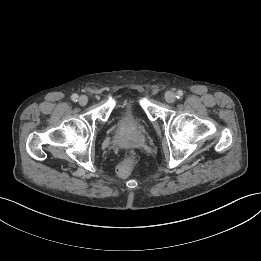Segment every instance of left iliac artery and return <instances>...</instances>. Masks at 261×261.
I'll use <instances>...</instances> for the list:
<instances>
[{
  "mask_svg": "<svg viewBox=\"0 0 261 261\" xmlns=\"http://www.w3.org/2000/svg\"><path fill=\"white\" fill-rule=\"evenodd\" d=\"M176 94H177L176 97H177L178 99H180V98H182V96H183V91L179 90V91H177Z\"/></svg>",
  "mask_w": 261,
  "mask_h": 261,
  "instance_id": "1",
  "label": "left iliac artery"
}]
</instances>
